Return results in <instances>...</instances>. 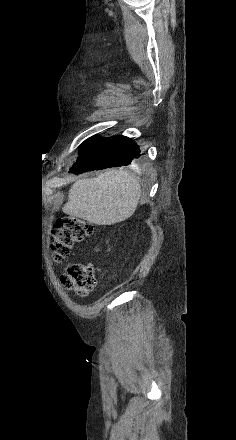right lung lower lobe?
<instances>
[{"label":"right lung lower lobe","mask_w":236,"mask_h":440,"mask_svg":"<svg viewBox=\"0 0 236 440\" xmlns=\"http://www.w3.org/2000/svg\"><path fill=\"white\" fill-rule=\"evenodd\" d=\"M139 157V146L131 138L122 135L108 138L93 136L82 145L78 160L70 172L80 174L86 171L126 166Z\"/></svg>","instance_id":"obj_1"}]
</instances>
